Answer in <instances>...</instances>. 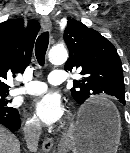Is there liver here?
I'll use <instances>...</instances> for the list:
<instances>
[{"label":"liver","instance_id":"1","mask_svg":"<svg viewBox=\"0 0 130 153\" xmlns=\"http://www.w3.org/2000/svg\"><path fill=\"white\" fill-rule=\"evenodd\" d=\"M0 153H20L19 140L2 125H0Z\"/></svg>","mask_w":130,"mask_h":153}]
</instances>
